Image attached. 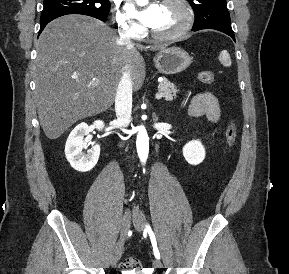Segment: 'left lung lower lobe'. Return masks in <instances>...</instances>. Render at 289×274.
Here are the masks:
<instances>
[{
  "instance_id": "left-lung-lower-lobe-1",
  "label": "left lung lower lobe",
  "mask_w": 289,
  "mask_h": 274,
  "mask_svg": "<svg viewBox=\"0 0 289 274\" xmlns=\"http://www.w3.org/2000/svg\"><path fill=\"white\" fill-rule=\"evenodd\" d=\"M205 29H215V30L221 31V32L229 35L235 41V36H234V32H233L232 28L231 29H229V28H205ZM193 31H197V30H193Z\"/></svg>"
}]
</instances>
